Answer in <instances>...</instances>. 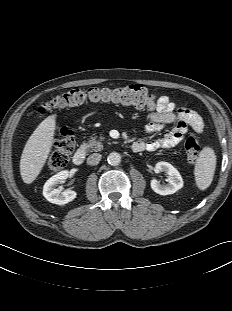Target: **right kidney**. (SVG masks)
<instances>
[{
  "label": "right kidney",
  "mask_w": 232,
  "mask_h": 311,
  "mask_svg": "<svg viewBox=\"0 0 232 311\" xmlns=\"http://www.w3.org/2000/svg\"><path fill=\"white\" fill-rule=\"evenodd\" d=\"M68 176L69 172L65 170L57 173L46 181L43 187V195L49 202L64 205L76 198L77 194L75 191L67 189L61 192L59 189L54 188L59 182H62Z\"/></svg>",
  "instance_id": "1"
}]
</instances>
